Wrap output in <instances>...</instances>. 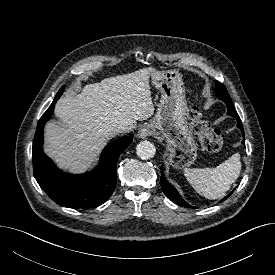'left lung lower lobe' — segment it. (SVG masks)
I'll return each instance as SVG.
<instances>
[{
	"label": "left lung lower lobe",
	"mask_w": 275,
	"mask_h": 275,
	"mask_svg": "<svg viewBox=\"0 0 275 275\" xmlns=\"http://www.w3.org/2000/svg\"><path fill=\"white\" fill-rule=\"evenodd\" d=\"M222 101H224L225 104L227 105L228 114L236 118V120H237V126L242 131V134H243L242 144H244L245 143V140H244L245 135H244V130H243L242 122H241V119H240L239 115L237 114V112L235 111V109L233 107V103H232L231 98H229V99H223ZM160 183H161V187H162L163 192L165 193V195L168 198H170L171 200L175 201L181 207L193 208L191 205L187 204L181 198V196L176 191V189L169 182H167V180L164 178L163 170H161ZM231 194H232V192L229 195H227L226 197H224L221 200V202L224 201V200H226Z\"/></svg>",
	"instance_id": "left-lung-lower-lobe-1"
}]
</instances>
